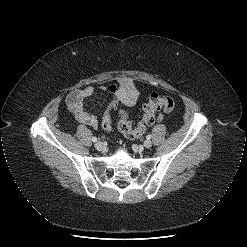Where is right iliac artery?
Returning a JSON list of instances; mask_svg holds the SVG:
<instances>
[{"mask_svg": "<svg viewBox=\"0 0 247 247\" xmlns=\"http://www.w3.org/2000/svg\"><path fill=\"white\" fill-rule=\"evenodd\" d=\"M92 141H93V142H96V141H97V138H96V137H93V138H92Z\"/></svg>", "mask_w": 247, "mask_h": 247, "instance_id": "obj_1", "label": "right iliac artery"}]
</instances>
